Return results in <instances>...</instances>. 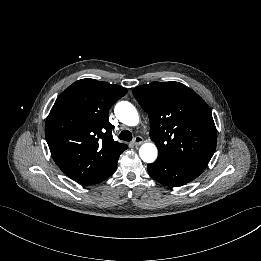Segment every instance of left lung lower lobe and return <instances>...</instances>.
I'll return each mask as SVG.
<instances>
[{"label":"left lung lower lobe","instance_id":"1","mask_svg":"<svg viewBox=\"0 0 261 261\" xmlns=\"http://www.w3.org/2000/svg\"><path fill=\"white\" fill-rule=\"evenodd\" d=\"M204 169H188L171 164L165 160H156L148 164L149 174L166 186H181L199 176Z\"/></svg>","mask_w":261,"mask_h":261}]
</instances>
